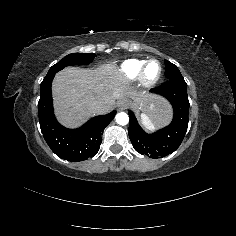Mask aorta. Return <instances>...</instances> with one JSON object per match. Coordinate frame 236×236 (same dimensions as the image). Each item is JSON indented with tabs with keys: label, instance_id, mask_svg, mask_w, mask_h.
<instances>
[{
	"label": "aorta",
	"instance_id": "obj_1",
	"mask_svg": "<svg viewBox=\"0 0 236 236\" xmlns=\"http://www.w3.org/2000/svg\"><path fill=\"white\" fill-rule=\"evenodd\" d=\"M116 122L119 125H127L129 122V116L125 112H120L115 116Z\"/></svg>",
	"mask_w": 236,
	"mask_h": 236
}]
</instances>
